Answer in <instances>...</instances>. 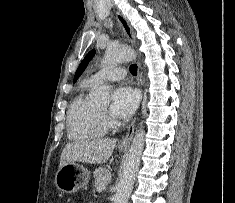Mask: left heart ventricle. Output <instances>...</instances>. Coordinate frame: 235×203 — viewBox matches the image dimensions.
Wrapping results in <instances>:
<instances>
[{"mask_svg":"<svg viewBox=\"0 0 235 203\" xmlns=\"http://www.w3.org/2000/svg\"><path fill=\"white\" fill-rule=\"evenodd\" d=\"M102 109H103V110H106V106H103Z\"/></svg>","mask_w":235,"mask_h":203,"instance_id":"left-heart-ventricle-1","label":"left heart ventricle"}]
</instances>
